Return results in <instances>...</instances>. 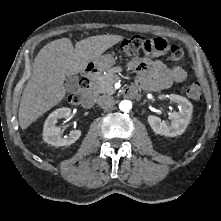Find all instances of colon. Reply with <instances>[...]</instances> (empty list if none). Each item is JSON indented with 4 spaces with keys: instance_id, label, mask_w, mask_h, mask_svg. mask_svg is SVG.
Returning a JSON list of instances; mask_svg holds the SVG:
<instances>
[{
    "instance_id": "obj_1",
    "label": "colon",
    "mask_w": 221,
    "mask_h": 221,
    "mask_svg": "<svg viewBox=\"0 0 221 221\" xmlns=\"http://www.w3.org/2000/svg\"><path fill=\"white\" fill-rule=\"evenodd\" d=\"M121 51L128 57H135L141 50L144 51H170V60L173 63H179L182 59L183 52L178 46H168V43L162 38L144 39L139 35L132 36L124 40L120 45ZM87 85L81 80L77 88L70 93L68 101L71 104L83 103L84 93ZM187 95L194 101H200L202 99L201 86L198 83H192L187 87Z\"/></svg>"
}]
</instances>
